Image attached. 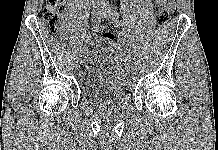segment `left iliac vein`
Masks as SVG:
<instances>
[{"label": "left iliac vein", "instance_id": "4c4485c4", "mask_svg": "<svg viewBox=\"0 0 218 150\" xmlns=\"http://www.w3.org/2000/svg\"><path fill=\"white\" fill-rule=\"evenodd\" d=\"M101 16L104 19H107L109 21L115 22L116 19H118V14L115 10H113L109 5H105L102 12H101ZM128 75L132 76L133 75V70L130 68L128 70Z\"/></svg>", "mask_w": 218, "mask_h": 150}]
</instances>
